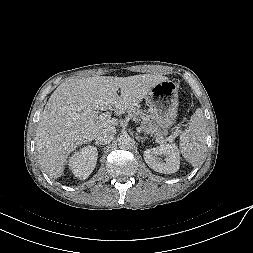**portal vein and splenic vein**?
<instances>
[{"label": "portal vein and splenic vein", "mask_w": 253, "mask_h": 253, "mask_svg": "<svg viewBox=\"0 0 253 253\" xmlns=\"http://www.w3.org/2000/svg\"><path fill=\"white\" fill-rule=\"evenodd\" d=\"M110 117H111L110 113H109V112H106V113H103V114L99 115V116H98V119H99V120H106V119H110ZM151 136H152V135H151ZM156 139H157V140H160V141L162 140V138H156ZM173 139H174L173 136H169V137L166 138V141L172 142Z\"/></svg>", "instance_id": "18ae733b"}]
</instances>
